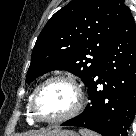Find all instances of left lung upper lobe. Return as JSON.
Returning <instances> with one entry per match:
<instances>
[{
	"label": "left lung upper lobe",
	"mask_w": 136,
	"mask_h": 136,
	"mask_svg": "<svg viewBox=\"0 0 136 136\" xmlns=\"http://www.w3.org/2000/svg\"><path fill=\"white\" fill-rule=\"evenodd\" d=\"M128 11L123 0H72L38 36L27 82L51 70H67L88 86Z\"/></svg>",
	"instance_id": "1"
}]
</instances>
